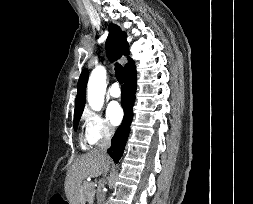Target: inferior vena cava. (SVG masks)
I'll return each instance as SVG.
<instances>
[{
  "instance_id": "inferior-vena-cava-1",
  "label": "inferior vena cava",
  "mask_w": 253,
  "mask_h": 204,
  "mask_svg": "<svg viewBox=\"0 0 253 204\" xmlns=\"http://www.w3.org/2000/svg\"><path fill=\"white\" fill-rule=\"evenodd\" d=\"M113 135V130L111 129H107L104 137L100 140L99 144H98V150L103 154V155H107V149L110 147L111 145V137ZM109 168H106L105 170V174L108 172ZM104 200H105V193L103 191H100L98 196H97V201L98 204H104Z\"/></svg>"
}]
</instances>
